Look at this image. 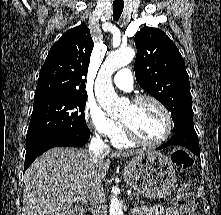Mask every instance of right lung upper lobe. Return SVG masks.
I'll use <instances>...</instances> for the list:
<instances>
[{"label":"right lung upper lobe","mask_w":221,"mask_h":215,"mask_svg":"<svg viewBox=\"0 0 221 215\" xmlns=\"http://www.w3.org/2000/svg\"><path fill=\"white\" fill-rule=\"evenodd\" d=\"M93 46L86 25L81 24L65 32L51 47L41 67L34 100L56 95L86 94L85 77Z\"/></svg>","instance_id":"obj_1"}]
</instances>
